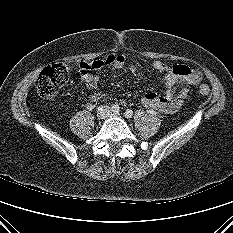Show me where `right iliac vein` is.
I'll return each mask as SVG.
<instances>
[{
  "instance_id": "1",
  "label": "right iliac vein",
  "mask_w": 233,
  "mask_h": 233,
  "mask_svg": "<svg viewBox=\"0 0 233 233\" xmlns=\"http://www.w3.org/2000/svg\"><path fill=\"white\" fill-rule=\"evenodd\" d=\"M109 115V109L107 107H101L97 111V117L99 119H104Z\"/></svg>"
}]
</instances>
